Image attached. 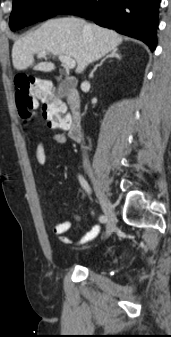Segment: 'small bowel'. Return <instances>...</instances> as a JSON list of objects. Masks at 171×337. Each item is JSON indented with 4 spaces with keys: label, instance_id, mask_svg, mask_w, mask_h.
<instances>
[{
    "label": "small bowel",
    "instance_id": "1",
    "mask_svg": "<svg viewBox=\"0 0 171 337\" xmlns=\"http://www.w3.org/2000/svg\"><path fill=\"white\" fill-rule=\"evenodd\" d=\"M48 141H53L58 144H65L67 142V137L64 133L59 132L55 133L47 138L41 139L35 148V159L39 166L43 167L47 163V155H46V143ZM90 216H92V210L88 207ZM79 214H73V220L79 221ZM72 222L71 221H59L52 225V232L58 237V239L67 245H81L86 244L94 239H96L100 233V227L98 225H93L85 234L81 235L78 238H71L66 236V234L71 229Z\"/></svg>",
    "mask_w": 171,
    "mask_h": 337
}]
</instances>
